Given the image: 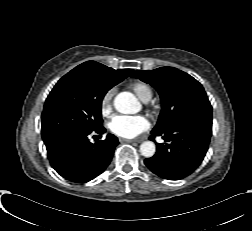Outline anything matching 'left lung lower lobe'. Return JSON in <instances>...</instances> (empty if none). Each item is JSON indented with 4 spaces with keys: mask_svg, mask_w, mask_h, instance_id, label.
Wrapping results in <instances>:
<instances>
[{
    "mask_svg": "<svg viewBox=\"0 0 252 231\" xmlns=\"http://www.w3.org/2000/svg\"><path fill=\"white\" fill-rule=\"evenodd\" d=\"M150 140L162 136L157 152L144 163L158 176L177 180L190 175L202 162L208 150L212 119L191 117L177 122L160 133L151 132Z\"/></svg>",
    "mask_w": 252,
    "mask_h": 231,
    "instance_id": "left-lung-lower-lobe-1",
    "label": "left lung lower lobe"
}]
</instances>
